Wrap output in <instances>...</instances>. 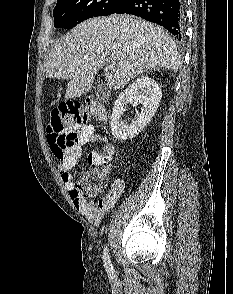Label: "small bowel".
<instances>
[{
	"label": "small bowel",
	"mask_w": 233,
	"mask_h": 294,
	"mask_svg": "<svg viewBox=\"0 0 233 294\" xmlns=\"http://www.w3.org/2000/svg\"><path fill=\"white\" fill-rule=\"evenodd\" d=\"M71 132L75 135L73 145L68 149L66 156L58 165V172L62 182L68 189L76 208L93 224H98L104 215L113 208L125 189V182L116 179L112 182L108 193L98 200H89L76 193V183L71 169L77 166L81 157L82 147L90 142L100 143L102 152H91L88 162L95 166H101L104 162L111 163L115 148L109 139L96 132L94 125H76Z\"/></svg>",
	"instance_id": "c3829d8e"
}]
</instances>
